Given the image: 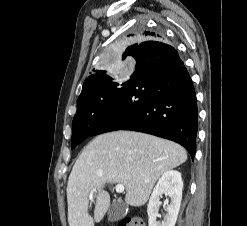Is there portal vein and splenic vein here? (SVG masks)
I'll return each instance as SVG.
<instances>
[{
  "label": "portal vein and splenic vein",
  "mask_w": 247,
  "mask_h": 226,
  "mask_svg": "<svg viewBox=\"0 0 247 226\" xmlns=\"http://www.w3.org/2000/svg\"><path fill=\"white\" fill-rule=\"evenodd\" d=\"M115 190L117 193H123L125 190V187L122 184H118V185H116ZM89 198L90 199L93 198V191H91V193L89 194Z\"/></svg>",
  "instance_id": "portal-vein-and-splenic-vein-1"
}]
</instances>
